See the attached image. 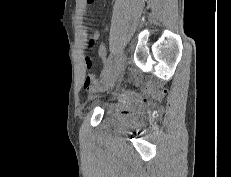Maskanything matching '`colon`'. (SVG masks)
<instances>
[{"label": "colon", "mask_w": 231, "mask_h": 177, "mask_svg": "<svg viewBox=\"0 0 231 177\" xmlns=\"http://www.w3.org/2000/svg\"><path fill=\"white\" fill-rule=\"evenodd\" d=\"M94 2V0H87V3L88 4H91V3H93Z\"/></svg>", "instance_id": "5ec220e1"}]
</instances>
